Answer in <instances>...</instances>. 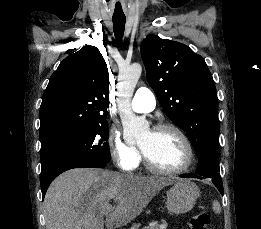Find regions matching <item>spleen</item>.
<instances>
[{"instance_id": "3e777b00", "label": "spleen", "mask_w": 261, "mask_h": 229, "mask_svg": "<svg viewBox=\"0 0 261 229\" xmlns=\"http://www.w3.org/2000/svg\"><path fill=\"white\" fill-rule=\"evenodd\" d=\"M212 209H213V211H215V213H221L220 203H218V201H214V203L212 205Z\"/></svg>"}]
</instances>
